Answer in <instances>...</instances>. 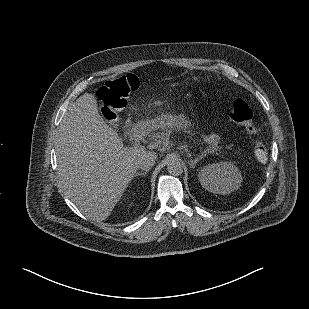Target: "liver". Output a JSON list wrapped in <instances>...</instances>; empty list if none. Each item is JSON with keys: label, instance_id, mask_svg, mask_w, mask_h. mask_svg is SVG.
<instances>
[{"label": "liver", "instance_id": "obj_1", "mask_svg": "<svg viewBox=\"0 0 309 309\" xmlns=\"http://www.w3.org/2000/svg\"><path fill=\"white\" fill-rule=\"evenodd\" d=\"M59 177L67 196L87 217H109L140 162L156 154L123 147L118 133L98 111L96 97L85 93L66 112L56 143Z\"/></svg>", "mask_w": 309, "mask_h": 309}]
</instances>
